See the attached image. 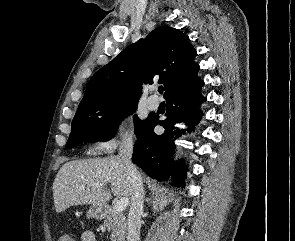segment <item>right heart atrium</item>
Listing matches in <instances>:
<instances>
[{"label": "right heart atrium", "instance_id": "obj_1", "mask_svg": "<svg viewBox=\"0 0 295 241\" xmlns=\"http://www.w3.org/2000/svg\"><path fill=\"white\" fill-rule=\"evenodd\" d=\"M130 139L123 121L118 119L111 123L106 133L100 138L97 148L101 152H111L119 141L129 142Z\"/></svg>", "mask_w": 295, "mask_h": 241}]
</instances>
